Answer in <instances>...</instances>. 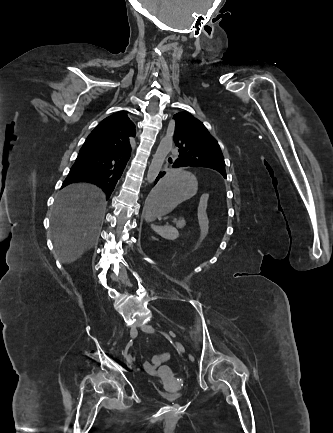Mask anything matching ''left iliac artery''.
<instances>
[{
    "mask_svg": "<svg viewBox=\"0 0 333 433\" xmlns=\"http://www.w3.org/2000/svg\"><path fill=\"white\" fill-rule=\"evenodd\" d=\"M166 338H170V336L167 334V333H165V332H161ZM171 335L172 336H174V334L173 333H171Z\"/></svg>",
    "mask_w": 333,
    "mask_h": 433,
    "instance_id": "1",
    "label": "left iliac artery"
}]
</instances>
